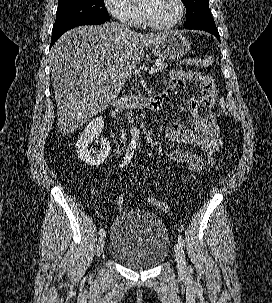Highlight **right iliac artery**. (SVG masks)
<instances>
[{
    "instance_id": "right-iliac-artery-1",
    "label": "right iliac artery",
    "mask_w": 272,
    "mask_h": 303,
    "mask_svg": "<svg viewBox=\"0 0 272 303\" xmlns=\"http://www.w3.org/2000/svg\"><path fill=\"white\" fill-rule=\"evenodd\" d=\"M135 148H136L135 144L129 145V147L126 151L125 157H124L123 161L121 162V164L119 165L120 168H125L131 162L133 155H134ZM104 233H105V230L103 228H100L99 234L102 235Z\"/></svg>"
}]
</instances>
